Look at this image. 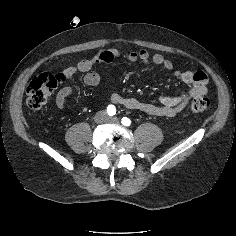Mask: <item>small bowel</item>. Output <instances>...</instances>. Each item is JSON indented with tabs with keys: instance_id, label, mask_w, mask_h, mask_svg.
Segmentation results:
<instances>
[{
	"instance_id": "1",
	"label": "small bowel",
	"mask_w": 236,
	"mask_h": 236,
	"mask_svg": "<svg viewBox=\"0 0 236 236\" xmlns=\"http://www.w3.org/2000/svg\"><path fill=\"white\" fill-rule=\"evenodd\" d=\"M119 57L132 62L141 61L145 65L151 62L157 68L165 70H172L174 67L172 61L165 59L160 54L150 56L149 52L145 49L119 51L113 48H105L98 51L92 57L81 60L76 66L64 69L62 72L65 78L64 82L72 78L77 72H82L84 73L83 82L85 85L99 86L103 79L97 72L93 71V68L99 63H110ZM174 77L189 86V90L178 96L162 95L160 97V105L140 101L136 98L124 97L118 93H112L109 99L113 104L122 105L128 109L139 110L149 115L174 117L182 112L193 98L207 93L208 76L201 70H187L175 71ZM73 91V88L70 86H64L59 90L55 97V104L59 109L65 107L66 100L73 94Z\"/></svg>"
}]
</instances>
